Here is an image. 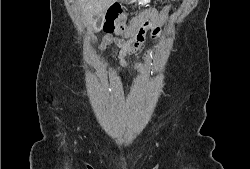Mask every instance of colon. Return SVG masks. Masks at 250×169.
<instances>
[{
    "instance_id": "1",
    "label": "colon",
    "mask_w": 250,
    "mask_h": 169,
    "mask_svg": "<svg viewBox=\"0 0 250 169\" xmlns=\"http://www.w3.org/2000/svg\"><path fill=\"white\" fill-rule=\"evenodd\" d=\"M164 1L165 3H170L171 0ZM137 19L139 23L133 35V42L127 45V50L130 53H136L139 50V45L143 44L149 30L152 37H159L161 35V28L159 26L152 25L151 22L143 16ZM102 29L107 34H119L124 32L127 26L126 14L123 9L120 7H111L106 13Z\"/></svg>"
}]
</instances>
